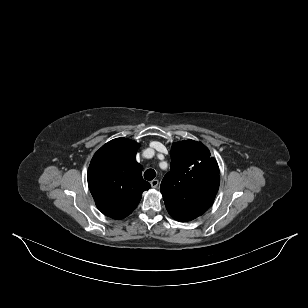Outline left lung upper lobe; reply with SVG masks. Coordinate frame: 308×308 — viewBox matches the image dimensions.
Returning a JSON list of instances; mask_svg holds the SVG:
<instances>
[{
	"label": "left lung upper lobe",
	"instance_id": "obj_1",
	"mask_svg": "<svg viewBox=\"0 0 308 308\" xmlns=\"http://www.w3.org/2000/svg\"><path fill=\"white\" fill-rule=\"evenodd\" d=\"M220 177L209 150L193 140L174 143L170 171L160 191L169 214L177 221H191L205 213L214 202Z\"/></svg>",
	"mask_w": 308,
	"mask_h": 308
}]
</instances>
